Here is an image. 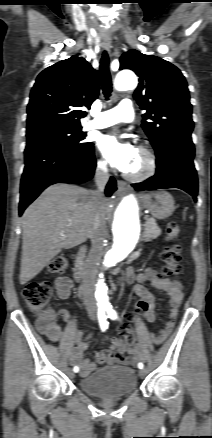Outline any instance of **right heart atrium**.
Here are the masks:
<instances>
[{"mask_svg": "<svg viewBox=\"0 0 212 438\" xmlns=\"http://www.w3.org/2000/svg\"><path fill=\"white\" fill-rule=\"evenodd\" d=\"M97 168L100 171H102V172L106 171L107 170V163H106V161L104 159H99L97 161Z\"/></svg>", "mask_w": 212, "mask_h": 438, "instance_id": "right-heart-atrium-1", "label": "right heart atrium"}]
</instances>
